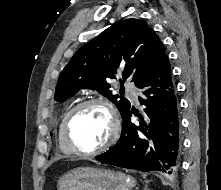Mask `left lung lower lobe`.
I'll list each match as a JSON object with an SVG mask.
<instances>
[{"mask_svg": "<svg viewBox=\"0 0 221 190\" xmlns=\"http://www.w3.org/2000/svg\"><path fill=\"white\" fill-rule=\"evenodd\" d=\"M145 108L131 109L122 116L121 137L115 146L95 157L117 167L142 172L175 174L179 170L181 135L178 101L167 55L136 85ZM135 113L140 125L131 123Z\"/></svg>", "mask_w": 221, "mask_h": 190, "instance_id": "0a47b994", "label": "left lung lower lobe"}]
</instances>
